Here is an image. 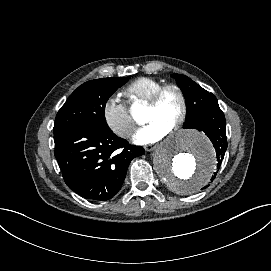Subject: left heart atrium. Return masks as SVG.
<instances>
[{"mask_svg":"<svg viewBox=\"0 0 271 271\" xmlns=\"http://www.w3.org/2000/svg\"><path fill=\"white\" fill-rule=\"evenodd\" d=\"M170 132V128L158 122H151L136 130L132 135V141L137 145L154 144L165 138Z\"/></svg>","mask_w":271,"mask_h":271,"instance_id":"1","label":"left heart atrium"}]
</instances>
